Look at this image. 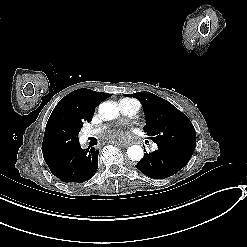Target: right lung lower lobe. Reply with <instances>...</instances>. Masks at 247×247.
Masks as SVG:
<instances>
[{
  "mask_svg": "<svg viewBox=\"0 0 247 247\" xmlns=\"http://www.w3.org/2000/svg\"><path fill=\"white\" fill-rule=\"evenodd\" d=\"M43 155L51 173L66 183L87 181L98 168V150H83L79 142L64 150Z\"/></svg>",
  "mask_w": 247,
  "mask_h": 247,
  "instance_id": "98d812e1",
  "label": "right lung lower lobe"
}]
</instances>
